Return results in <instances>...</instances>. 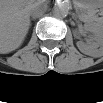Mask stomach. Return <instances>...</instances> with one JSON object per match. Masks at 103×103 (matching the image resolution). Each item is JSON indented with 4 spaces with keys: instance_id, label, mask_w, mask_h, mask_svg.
I'll return each instance as SVG.
<instances>
[{
    "instance_id": "stomach-1",
    "label": "stomach",
    "mask_w": 103,
    "mask_h": 103,
    "mask_svg": "<svg viewBox=\"0 0 103 103\" xmlns=\"http://www.w3.org/2000/svg\"><path fill=\"white\" fill-rule=\"evenodd\" d=\"M79 5L83 9H87V10H90V11L92 10V6H93V4L90 1H80Z\"/></svg>"
}]
</instances>
